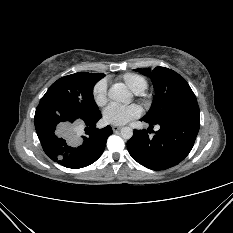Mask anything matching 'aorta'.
<instances>
[{
  "label": "aorta",
  "instance_id": "obj_1",
  "mask_svg": "<svg viewBox=\"0 0 233 233\" xmlns=\"http://www.w3.org/2000/svg\"><path fill=\"white\" fill-rule=\"evenodd\" d=\"M108 97L111 100L129 104L132 100V95L122 83H116L108 91ZM123 139H130L133 136V130L130 127H122L120 131Z\"/></svg>",
  "mask_w": 233,
  "mask_h": 233
}]
</instances>
